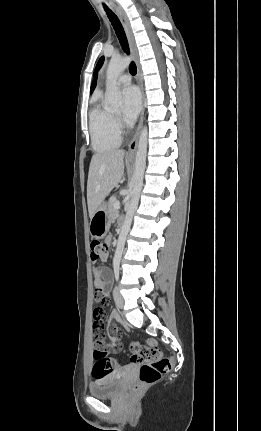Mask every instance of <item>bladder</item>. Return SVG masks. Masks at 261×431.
Returning a JSON list of instances; mask_svg holds the SVG:
<instances>
[{"label": "bladder", "mask_w": 261, "mask_h": 431, "mask_svg": "<svg viewBox=\"0 0 261 431\" xmlns=\"http://www.w3.org/2000/svg\"><path fill=\"white\" fill-rule=\"evenodd\" d=\"M124 386L122 376H102L90 383L89 393L96 398H113Z\"/></svg>", "instance_id": "obj_1"}]
</instances>
